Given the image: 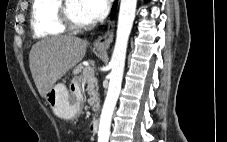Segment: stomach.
I'll use <instances>...</instances> for the list:
<instances>
[{
    "instance_id": "stomach-1",
    "label": "stomach",
    "mask_w": 227,
    "mask_h": 142,
    "mask_svg": "<svg viewBox=\"0 0 227 142\" xmlns=\"http://www.w3.org/2000/svg\"><path fill=\"white\" fill-rule=\"evenodd\" d=\"M99 51L102 50L99 49ZM44 98L53 112L62 119H74L81 111V102H73V97L69 94L67 87L62 83L50 88Z\"/></svg>"
}]
</instances>
